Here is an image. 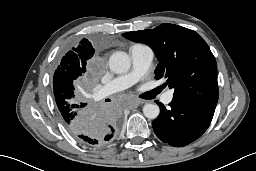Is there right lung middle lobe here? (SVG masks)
Wrapping results in <instances>:
<instances>
[{
  "label": "right lung middle lobe",
  "mask_w": 256,
  "mask_h": 171,
  "mask_svg": "<svg viewBox=\"0 0 256 171\" xmlns=\"http://www.w3.org/2000/svg\"><path fill=\"white\" fill-rule=\"evenodd\" d=\"M86 69L82 68L67 53L61 59L54 77L53 89L55 101L69 100L71 104L89 103L87 90L80 84V77Z\"/></svg>",
  "instance_id": "dd1d6c3e"
}]
</instances>
